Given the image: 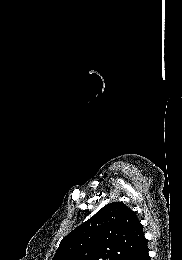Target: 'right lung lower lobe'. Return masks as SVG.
Wrapping results in <instances>:
<instances>
[{"label": "right lung lower lobe", "mask_w": 182, "mask_h": 260, "mask_svg": "<svg viewBox=\"0 0 182 260\" xmlns=\"http://www.w3.org/2000/svg\"><path fill=\"white\" fill-rule=\"evenodd\" d=\"M124 260H150L147 242L128 255Z\"/></svg>", "instance_id": "right-lung-lower-lobe-1"}]
</instances>
